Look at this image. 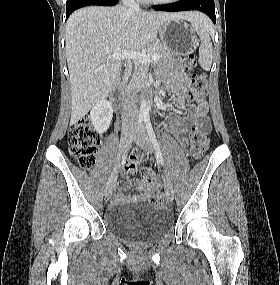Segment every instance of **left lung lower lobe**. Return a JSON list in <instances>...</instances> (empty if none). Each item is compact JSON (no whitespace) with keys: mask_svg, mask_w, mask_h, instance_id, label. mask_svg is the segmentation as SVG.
Segmentation results:
<instances>
[{"mask_svg":"<svg viewBox=\"0 0 280 285\" xmlns=\"http://www.w3.org/2000/svg\"><path fill=\"white\" fill-rule=\"evenodd\" d=\"M153 9L169 12L198 10L207 14L213 23H216L214 0H180L174 4L154 6Z\"/></svg>","mask_w":280,"mask_h":285,"instance_id":"0a47b994","label":"left lung lower lobe"}]
</instances>
